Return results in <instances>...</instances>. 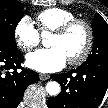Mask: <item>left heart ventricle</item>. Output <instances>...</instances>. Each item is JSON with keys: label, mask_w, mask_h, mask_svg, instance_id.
<instances>
[{"label": "left heart ventricle", "mask_w": 108, "mask_h": 108, "mask_svg": "<svg viewBox=\"0 0 108 108\" xmlns=\"http://www.w3.org/2000/svg\"><path fill=\"white\" fill-rule=\"evenodd\" d=\"M86 31L83 27L77 26L73 28L68 34L58 36L53 34L50 39V45L61 48L66 54L67 58L77 56L86 44Z\"/></svg>", "instance_id": "obj_1"}]
</instances>
